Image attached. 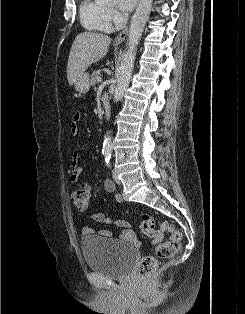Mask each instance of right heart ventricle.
<instances>
[{
  "mask_svg": "<svg viewBox=\"0 0 245 314\" xmlns=\"http://www.w3.org/2000/svg\"><path fill=\"white\" fill-rule=\"evenodd\" d=\"M106 9L95 0H82L79 15L83 26L96 32H108L110 29L105 21Z\"/></svg>",
  "mask_w": 245,
  "mask_h": 314,
  "instance_id": "1",
  "label": "right heart ventricle"
}]
</instances>
